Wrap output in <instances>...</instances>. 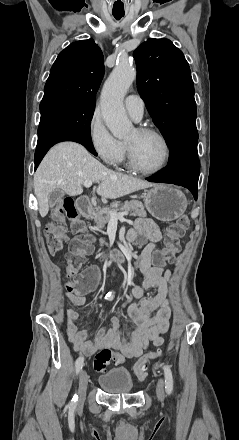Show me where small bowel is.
Here are the masks:
<instances>
[{"instance_id":"small-bowel-1","label":"small bowel","mask_w":239,"mask_h":440,"mask_svg":"<svg viewBox=\"0 0 239 440\" xmlns=\"http://www.w3.org/2000/svg\"><path fill=\"white\" fill-rule=\"evenodd\" d=\"M127 237L131 242L146 244V247L140 260L142 283L135 285L132 290L135 300H141L131 303L128 307L127 317L132 326L126 334L120 330V317L113 315L110 327L101 328L93 340H89L88 331L79 326V320L86 303L84 294L95 284L88 286L84 291H78L74 281L66 283V296L72 305V308L65 312L66 331L74 349L84 356L104 349L113 351V363L116 365H122L128 358L140 357L150 342L160 346L163 343L162 334L168 331L171 318L168 300L171 272L164 266H156L152 262L153 255L157 252V244L162 238L160 229L152 219L139 218ZM87 269L97 270L95 267ZM151 288H157V293L153 297L142 299L144 291ZM153 312L155 313L152 315Z\"/></svg>"}]
</instances>
